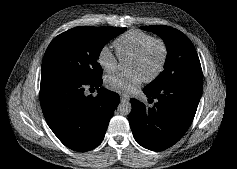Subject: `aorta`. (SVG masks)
Returning <instances> with one entry per match:
<instances>
[{
    "mask_svg": "<svg viewBox=\"0 0 237 169\" xmlns=\"http://www.w3.org/2000/svg\"><path fill=\"white\" fill-rule=\"evenodd\" d=\"M131 110H132V105L127 100L121 101L117 107L118 113L123 116L129 115Z\"/></svg>",
    "mask_w": 237,
    "mask_h": 169,
    "instance_id": "762f6f07",
    "label": "aorta"
}]
</instances>
